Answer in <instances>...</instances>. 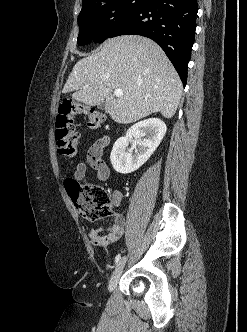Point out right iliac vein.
<instances>
[{"label":"right iliac vein","instance_id":"obj_1","mask_svg":"<svg viewBox=\"0 0 247 332\" xmlns=\"http://www.w3.org/2000/svg\"><path fill=\"white\" fill-rule=\"evenodd\" d=\"M126 261H127V257H123L118 262V264H117V266H116V268H115V270H114V272H113V274H112V276L109 280V284H108L109 291H112L116 287V285L119 281V278L122 274V271H123V268H124V265H125Z\"/></svg>","mask_w":247,"mask_h":332}]
</instances>
